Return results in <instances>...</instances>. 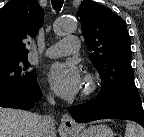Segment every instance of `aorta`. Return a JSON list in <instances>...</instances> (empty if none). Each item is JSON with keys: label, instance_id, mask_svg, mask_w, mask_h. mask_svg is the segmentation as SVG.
Returning <instances> with one entry per match:
<instances>
[{"label": "aorta", "instance_id": "obj_1", "mask_svg": "<svg viewBox=\"0 0 144 137\" xmlns=\"http://www.w3.org/2000/svg\"><path fill=\"white\" fill-rule=\"evenodd\" d=\"M76 23L71 18L58 19L54 24V32L57 35H62L75 30Z\"/></svg>", "mask_w": 144, "mask_h": 137}]
</instances>
